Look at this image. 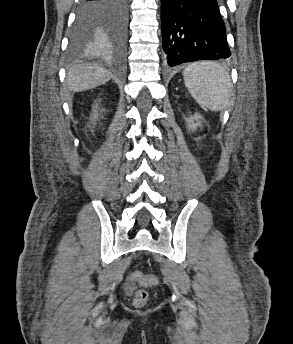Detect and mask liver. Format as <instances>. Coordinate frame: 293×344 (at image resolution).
<instances>
[{
	"label": "liver",
	"mask_w": 293,
	"mask_h": 344,
	"mask_svg": "<svg viewBox=\"0 0 293 344\" xmlns=\"http://www.w3.org/2000/svg\"><path fill=\"white\" fill-rule=\"evenodd\" d=\"M110 79L111 73L97 65L79 64L69 69L67 87L70 91L80 92L103 85Z\"/></svg>",
	"instance_id": "obj_1"
}]
</instances>
